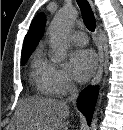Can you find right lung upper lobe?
Listing matches in <instances>:
<instances>
[{
  "label": "right lung upper lobe",
  "instance_id": "cb5924a9",
  "mask_svg": "<svg viewBox=\"0 0 123 130\" xmlns=\"http://www.w3.org/2000/svg\"><path fill=\"white\" fill-rule=\"evenodd\" d=\"M45 22L46 18L43 13L38 14L34 18L24 40L22 56L31 55V53L34 51L35 47L43 36Z\"/></svg>",
  "mask_w": 123,
  "mask_h": 130
}]
</instances>
